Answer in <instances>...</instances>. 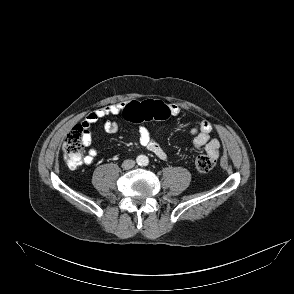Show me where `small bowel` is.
Listing matches in <instances>:
<instances>
[{"instance_id":"c3829d8e","label":"small bowel","mask_w":294,"mask_h":294,"mask_svg":"<svg viewBox=\"0 0 294 294\" xmlns=\"http://www.w3.org/2000/svg\"><path fill=\"white\" fill-rule=\"evenodd\" d=\"M125 106V103L112 104L89 113L81 124L84 129V144L90 146L92 143L90 127L93 124L105 117L116 116L122 113ZM168 106L171 111V116L179 115L180 108L176 104H169ZM104 129L107 133H116L118 131V124L116 121L107 120L104 122ZM211 131V124L205 120H201L196 122L191 128L190 134L194 136L193 145L197 151L206 152L208 155L217 158L219 155L220 142L215 138H211ZM139 143L159 159L167 160L168 156L163 147L152 138L150 132L144 126L139 127ZM97 156V149L90 148L83 160L84 164H91Z\"/></svg>"}]
</instances>
